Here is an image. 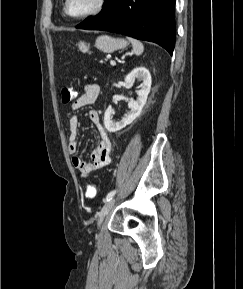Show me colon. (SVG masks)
Instances as JSON below:
<instances>
[{
  "label": "colon",
  "mask_w": 243,
  "mask_h": 289,
  "mask_svg": "<svg viewBox=\"0 0 243 289\" xmlns=\"http://www.w3.org/2000/svg\"><path fill=\"white\" fill-rule=\"evenodd\" d=\"M62 102L68 104L76 98V91L72 86H64L61 91ZM85 196L93 199L96 196V187L93 184H88L85 189Z\"/></svg>",
  "instance_id": "colon-1"
}]
</instances>
